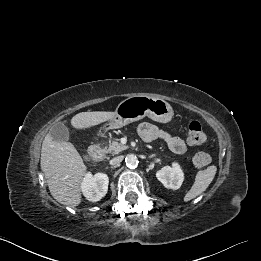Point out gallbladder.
<instances>
[{
	"mask_svg": "<svg viewBox=\"0 0 261 261\" xmlns=\"http://www.w3.org/2000/svg\"><path fill=\"white\" fill-rule=\"evenodd\" d=\"M49 134L55 141H68L69 130L63 123H56L49 131Z\"/></svg>",
	"mask_w": 261,
	"mask_h": 261,
	"instance_id": "1",
	"label": "gallbladder"
}]
</instances>
